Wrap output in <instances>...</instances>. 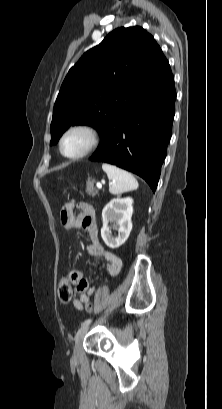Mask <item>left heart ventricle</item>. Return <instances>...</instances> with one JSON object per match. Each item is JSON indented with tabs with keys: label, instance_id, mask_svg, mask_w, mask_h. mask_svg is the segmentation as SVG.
Listing matches in <instances>:
<instances>
[{
	"label": "left heart ventricle",
	"instance_id": "1",
	"mask_svg": "<svg viewBox=\"0 0 222 409\" xmlns=\"http://www.w3.org/2000/svg\"><path fill=\"white\" fill-rule=\"evenodd\" d=\"M89 142V136L83 131L70 133L64 140L63 150L68 155L78 154L83 151Z\"/></svg>",
	"mask_w": 222,
	"mask_h": 409
}]
</instances>
